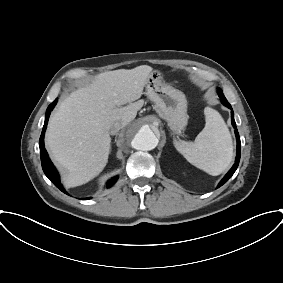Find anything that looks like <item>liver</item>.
Listing matches in <instances>:
<instances>
[{"instance_id":"6515ba94","label":"liver","mask_w":283,"mask_h":283,"mask_svg":"<svg viewBox=\"0 0 283 283\" xmlns=\"http://www.w3.org/2000/svg\"><path fill=\"white\" fill-rule=\"evenodd\" d=\"M151 72L152 67L141 65L100 73L60 103L49 120L45 142L65 170L66 187L85 184L102 172L111 148L110 127L135 119L144 102L134 101L141 97Z\"/></svg>"}]
</instances>
